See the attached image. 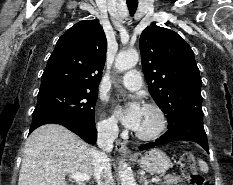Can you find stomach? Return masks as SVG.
<instances>
[{"instance_id":"1","label":"stomach","mask_w":233,"mask_h":185,"mask_svg":"<svg viewBox=\"0 0 233 185\" xmlns=\"http://www.w3.org/2000/svg\"><path fill=\"white\" fill-rule=\"evenodd\" d=\"M137 162L143 170L150 173L161 174L171 167L170 158L158 148L147 151Z\"/></svg>"}]
</instances>
